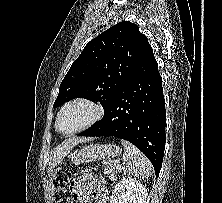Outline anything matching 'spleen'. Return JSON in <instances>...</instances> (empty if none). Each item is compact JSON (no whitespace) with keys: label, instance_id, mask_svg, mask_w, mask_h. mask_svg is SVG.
Returning a JSON list of instances; mask_svg holds the SVG:
<instances>
[{"label":"spleen","instance_id":"1","mask_svg":"<svg viewBox=\"0 0 222 203\" xmlns=\"http://www.w3.org/2000/svg\"><path fill=\"white\" fill-rule=\"evenodd\" d=\"M124 147L123 160L126 166L124 172L129 176L147 178L151 175V163L148 158L133 144L121 140Z\"/></svg>","mask_w":222,"mask_h":203}]
</instances>
